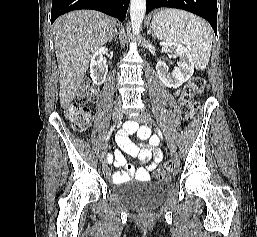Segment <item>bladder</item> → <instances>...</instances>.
Here are the masks:
<instances>
[{
	"mask_svg": "<svg viewBox=\"0 0 257 237\" xmlns=\"http://www.w3.org/2000/svg\"><path fill=\"white\" fill-rule=\"evenodd\" d=\"M144 183L146 185L143 188L128 190L121 196L123 203L133 210H151L158 207L172 190L173 185L171 180L144 181Z\"/></svg>",
	"mask_w": 257,
	"mask_h": 237,
	"instance_id": "1",
	"label": "bladder"
}]
</instances>
